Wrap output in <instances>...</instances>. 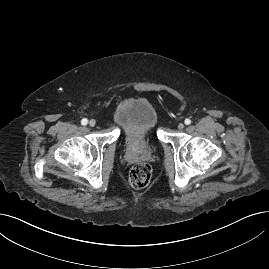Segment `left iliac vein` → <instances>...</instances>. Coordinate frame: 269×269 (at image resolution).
I'll list each match as a JSON object with an SVG mask.
<instances>
[{"label": "left iliac vein", "instance_id": "left-iliac-vein-1", "mask_svg": "<svg viewBox=\"0 0 269 269\" xmlns=\"http://www.w3.org/2000/svg\"><path fill=\"white\" fill-rule=\"evenodd\" d=\"M185 125L183 123H179L178 124V129L182 130L184 129Z\"/></svg>", "mask_w": 269, "mask_h": 269}]
</instances>
